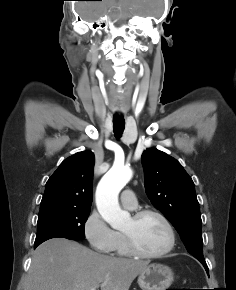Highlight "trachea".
I'll return each instance as SVG.
<instances>
[{
  "label": "trachea",
  "instance_id": "obj_1",
  "mask_svg": "<svg viewBox=\"0 0 236 290\" xmlns=\"http://www.w3.org/2000/svg\"><path fill=\"white\" fill-rule=\"evenodd\" d=\"M125 128V120L122 116L113 117V131L116 138H120Z\"/></svg>",
  "mask_w": 236,
  "mask_h": 290
}]
</instances>
